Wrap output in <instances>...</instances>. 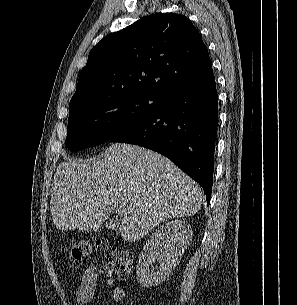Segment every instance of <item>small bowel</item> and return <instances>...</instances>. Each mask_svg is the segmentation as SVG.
Segmentation results:
<instances>
[{
    "label": "small bowel",
    "instance_id": "1",
    "mask_svg": "<svg viewBox=\"0 0 297 305\" xmlns=\"http://www.w3.org/2000/svg\"><path fill=\"white\" fill-rule=\"evenodd\" d=\"M99 274L104 278L106 286H113L114 278L108 268L104 267L100 271L94 267L86 268L77 284L76 298L79 305H86L93 299L97 289ZM125 296L126 292L124 288L120 286H114L112 288L111 301L113 303L123 301Z\"/></svg>",
    "mask_w": 297,
    "mask_h": 305
}]
</instances>
